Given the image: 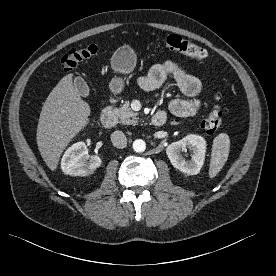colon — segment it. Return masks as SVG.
<instances>
[{
    "label": "colon",
    "instance_id": "obj_1",
    "mask_svg": "<svg viewBox=\"0 0 276 276\" xmlns=\"http://www.w3.org/2000/svg\"><path fill=\"white\" fill-rule=\"evenodd\" d=\"M164 45L169 50L183 53L195 60L202 61L207 58L205 49L176 34L167 36ZM98 52L99 46L95 43H88L79 48L71 49L62 57L61 68L65 71L72 70L79 62L95 56ZM221 103V98L215 96L209 112L201 122V127L210 135L215 134L222 123Z\"/></svg>",
    "mask_w": 276,
    "mask_h": 276
}]
</instances>
